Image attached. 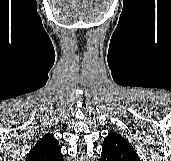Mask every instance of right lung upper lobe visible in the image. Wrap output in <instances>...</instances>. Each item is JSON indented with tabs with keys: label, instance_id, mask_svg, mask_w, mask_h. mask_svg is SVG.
<instances>
[{
	"label": "right lung upper lobe",
	"instance_id": "obj_1",
	"mask_svg": "<svg viewBox=\"0 0 171 161\" xmlns=\"http://www.w3.org/2000/svg\"><path fill=\"white\" fill-rule=\"evenodd\" d=\"M25 161H63L59 141L53 134H45L31 149Z\"/></svg>",
	"mask_w": 171,
	"mask_h": 161
}]
</instances>
